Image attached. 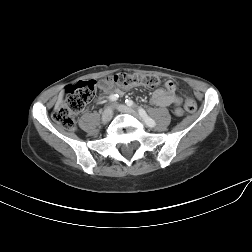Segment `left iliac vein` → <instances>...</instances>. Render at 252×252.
I'll return each mask as SVG.
<instances>
[{
  "label": "left iliac vein",
  "instance_id": "4c4485c4",
  "mask_svg": "<svg viewBox=\"0 0 252 252\" xmlns=\"http://www.w3.org/2000/svg\"><path fill=\"white\" fill-rule=\"evenodd\" d=\"M117 109L122 113L131 114L137 118H140L138 113L135 110H133L132 108L127 107L125 105L120 104L117 106Z\"/></svg>",
  "mask_w": 252,
  "mask_h": 252
}]
</instances>
